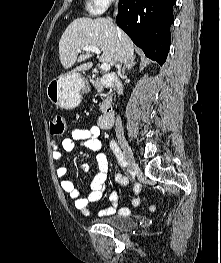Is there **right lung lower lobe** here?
Listing matches in <instances>:
<instances>
[{"label":"right lung lower lobe","mask_w":221,"mask_h":263,"mask_svg":"<svg viewBox=\"0 0 221 263\" xmlns=\"http://www.w3.org/2000/svg\"><path fill=\"white\" fill-rule=\"evenodd\" d=\"M175 0H119L117 25L145 55L163 65L171 41Z\"/></svg>","instance_id":"obj_1"}]
</instances>
